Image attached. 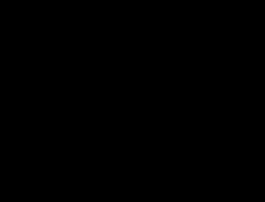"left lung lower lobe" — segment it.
Instances as JSON below:
<instances>
[{
    "label": "left lung lower lobe",
    "instance_id": "1",
    "mask_svg": "<svg viewBox=\"0 0 265 202\" xmlns=\"http://www.w3.org/2000/svg\"><path fill=\"white\" fill-rule=\"evenodd\" d=\"M155 127L160 129L161 135L159 136V142H161L163 149L165 146L170 147V153L176 155L179 150L187 149L191 150L194 146V139L192 138L191 132L192 128L181 125V124H171L162 118H155ZM217 131V128L215 129ZM215 131L209 132L208 135L203 136L202 139L212 140ZM168 152V149H167Z\"/></svg>",
    "mask_w": 265,
    "mask_h": 202
}]
</instances>
